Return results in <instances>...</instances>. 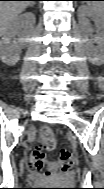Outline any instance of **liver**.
Wrapping results in <instances>:
<instances>
[{"label":"liver","instance_id":"obj_1","mask_svg":"<svg viewBox=\"0 0 104 189\" xmlns=\"http://www.w3.org/2000/svg\"><path fill=\"white\" fill-rule=\"evenodd\" d=\"M31 1H1L0 2V33L4 35L10 28L13 20L23 12Z\"/></svg>","mask_w":104,"mask_h":189}]
</instances>
